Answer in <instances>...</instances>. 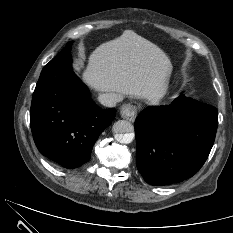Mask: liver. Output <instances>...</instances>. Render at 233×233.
Wrapping results in <instances>:
<instances>
[{
  "label": "liver",
  "instance_id": "1",
  "mask_svg": "<svg viewBox=\"0 0 233 233\" xmlns=\"http://www.w3.org/2000/svg\"><path fill=\"white\" fill-rule=\"evenodd\" d=\"M172 65L157 45L126 30L89 56L83 81L96 91L158 102L165 94Z\"/></svg>",
  "mask_w": 233,
  "mask_h": 233
}]
</instances>
